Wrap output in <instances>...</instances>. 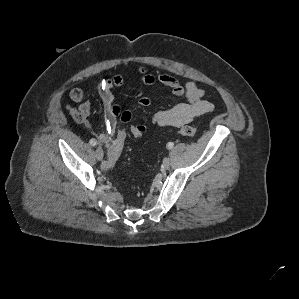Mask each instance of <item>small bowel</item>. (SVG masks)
I'll use <instances>...</instances> for the list:
<instances>
[{
    "label": "small bowel",
    "mask_w": 299,
    "mask_h": 299,
    "mask_svg": "<svg viewBox=\"0 0 299 299\" xmlns=\"http://www.w3.org/2000/svg\"><path fill=\"white\" fill-rule=\"evenodd\" d=\"M138 81L144 85L152 86L161 84L171 89L174 96L179 100L172 107L159 110L153 115V123L159 127H181L191 122L198 116L210 113L214 106L211 102L204 98L205 91L198 87L193 81H188L185 85H181L179 81L166 73L151 74L146 67L138 69ZM125 73L117 74L110 78L102 79L98 85V92L102 100L104 109V120L106 131L98 135V141L107 144L113 133L116 131L118 122L129 123L132 114L128 110H122L119 105L114 102L113 89L123 84ZM69 97L76 103H81L80 107L90 112V104L83 102L84 92L81 88L75 87L70 90ZM142 107H149L151 100L143 96L139 99ZM142 126L146 131V126L142 123H136Z\"/></svg>",
    "instance_id": "c3829d8e"
}]
</instances>
